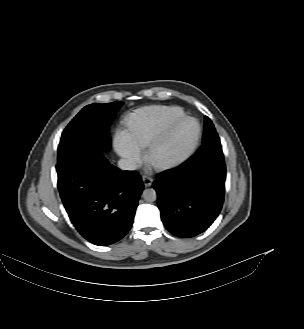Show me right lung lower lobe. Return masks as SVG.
Segmentation results:
<instances>
[{"instance_id":"1","label":"right lung lower lobe","mask_w":304,"mask_h":329,"mask_svg":"<svg viewBox=\"0 0 304 329\" xmlns=\"http://www.w3.org/2000/svg\"><path fill=\"white\" fill-rule=\"evenodd\" d=\"M56 169L64 207L85 239L106 246L126 235L144 188L137 172L118 169L100 152L76 155Z\"/></svg>"}]
</instances>
